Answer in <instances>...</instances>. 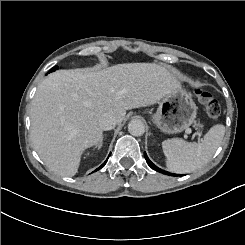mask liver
<instances>
[{
  "label": "liver",
  "mask_w": 245,
  "mask_h": 245,
  "mask_svg": "<svg viewBox=\"0 0 245 245\" xmlns=\"http://www.w3.org/2000/svg\"><path fill=\"white\" fill-rule=\"evenodd\" d=\"M181 83L155 63L117 64L101 70H59L38 86L31 104V139L45 165L61 176L77 173L83 151L99 143L98 120L155 104Z\"/></svg>",
  "instance_id": "6515ba94"
}]
</instances>
